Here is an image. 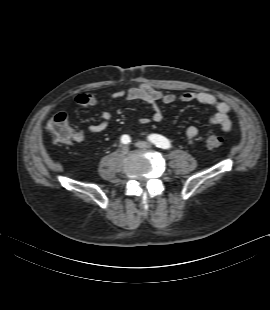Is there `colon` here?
Masks as SVG:
<instances>
[{"label":"colon","instance_id":"5ec220e1","mask_svg":"<svg viewBox=\"0 0 270 310\" xmlns=\"http://www.w3.org/2000/svg\"><path fill=\"white\" fill-rule=\"evenodd\" d=\"M48 130L55 141L63 144L77 142L80 136L79 132L70 126L68 115L65 112H59L49 120ZM222 142V138L218 135H209L205 139V145L209 149L219 148Z\"/></svg>","mask_w":270,"mask_h":310}]
</instances>
